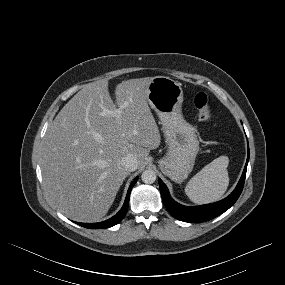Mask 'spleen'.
I'll return each instance as SVG.
<instances>
[{"mask_svg": "<svg viewBox=\"0 0 285 285\" xmlns=\"http://www.w3.org/2000/svg\"><path fill=\"white\" fill-rule=\"evenodd\" d=\"M229 159L220 156L207 164L186 185L185 193L196 204L219 200L229 185L227 167Z\"/></svg>", "mask_w": 285, "mask_h": 285, "instance_id": "3e777b00", "label": "spleen"}]
</instances>
